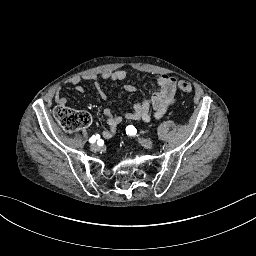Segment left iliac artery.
<instances>
[{"instance_id": "left-iliac-artery-1", "label": "left iliac artery", "mask_w": 256, "mask_h": 256, "mask_svg": "<svg viewBox=\"0 0 256 256\" xmlns=\"http://www.w3.org/2000/svg\"><path fill=\"white\" fill-rule=\"evenodd\" d=\"M126 133H127V135H132L133 136V135H136L137 130L133 125H129V126L126 127Z\"/></svg>"}]
</instances>
